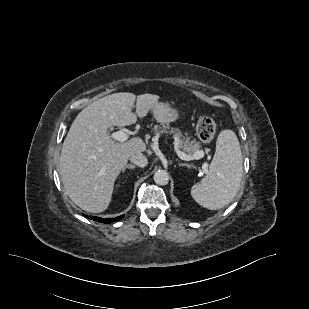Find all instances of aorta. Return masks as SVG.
I'll return each mask as SVG.
<instances>
[{"label":"aorta","instance_id":"obj_1","mask_svg":"<svg viewBox=\"0 0 309 309\" xmlns=\"http://www.w3.org/2000/svg\"><path fill=\"white\" fill-rule=\"evenodd\" d=\"M154 181L158 185H167L169 182V174L165 170H158L154 174Z\"/></svg>","mask_w":309,"mask_h":309}]
</instances>
